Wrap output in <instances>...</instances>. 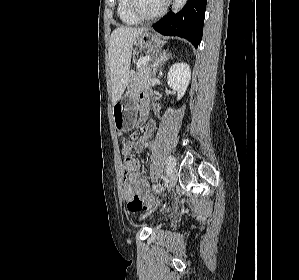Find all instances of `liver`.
Instances as JSON below:
<instances>
[{
    "label": "liver",
    "mask_w": 299,
    "mask_h": 280,
    "mask_svg": "<svg viewBox=\"0 0 299 280\" xmlns=\"http://www.w3.org/2000/svg\"><path fill=\"white\" fill-rule=\"evenodd\" d=\"M147 28L118 27L109 40V61L112 82V105L121 98L129 81L130 62L134 41Z\"/></svg>",
    "instance_id": "1"
}]
</instances>
